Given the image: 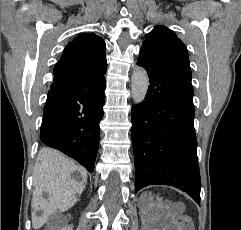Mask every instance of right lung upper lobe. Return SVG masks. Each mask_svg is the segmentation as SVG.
<instances>
[{"instance_id":"obj_1","label":"right lung upper lobe","mask_w":241,"mask_h":230,"mask_svg":"<svg viewBox=\"0 0 241 230\" xmlns=\"http://www.w3.org/2000/svg\"><path fill=\"white\" fill-rule=\"evenodd\" d=\"M105 47L99 36L81 34L65 47L57 64L72 71L104 74L107 69Z\"/></svg>"}]
</instances>
